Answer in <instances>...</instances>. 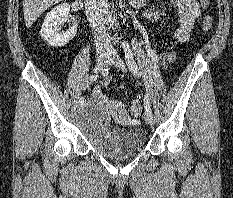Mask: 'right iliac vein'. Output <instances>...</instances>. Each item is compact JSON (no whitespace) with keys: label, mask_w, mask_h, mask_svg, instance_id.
I'll return each instance as SVG.
<instances>
[{"label":"right iliac vein","mask_w":233,"mask_h":198,"mask_svg":"<svg viewBox=\"0 0 233 198\" xmlns=\"http://www.w3.org/2000/svg\"><path fill=\"white\" fill-rule=\"evenodd\" d=\"M109 61V53L106 51H100L97 53L96 57V67L97 71H100L103 69V67L106 65V63ZM86 103L81 104L78 107V111H82L86 107Z\"/></svg>","instance_id":"63e3f726"}]
</instances>
